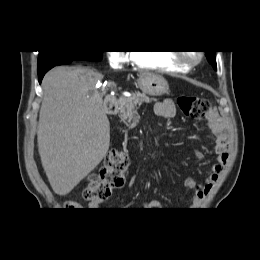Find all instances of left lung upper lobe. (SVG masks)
Masks as SVG:
<instances>
[{
	"instance_id": "1",
	"label": "left lung upper lobe",
	"mask_w": 260,
	"mask_h": 260,
	"mask_svg": "<svg viewBox=\"0 0 260 260\" xmlns=\"http://www.w3.org/2000/svg\"><path fill=\"white\" fill-rule=\"evenodd\" d=\"M209 63L216 69L215 51H205Z\"/></svg>"
}]
</instances>
